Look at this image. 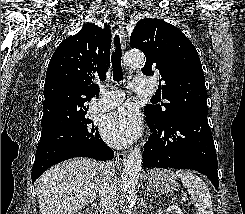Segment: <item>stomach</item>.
<instances>
[{"label":"stomach","mask_w":245,"mask_h":214,"mask_svg":"<svg viewBox=\"0 0 245 214\" xmlns=\"http://www.w3.org/2000/svg\"><path fill=\"white\" fill-rule=\"evenodd\" d=\"M147 183L159 193H170L178 187L176 175L170 169L149 171Z\"/></svg>","instance_id":"1"}]
</instances>
